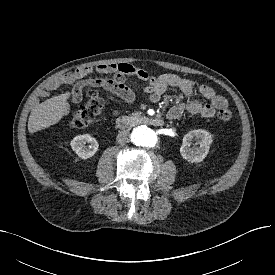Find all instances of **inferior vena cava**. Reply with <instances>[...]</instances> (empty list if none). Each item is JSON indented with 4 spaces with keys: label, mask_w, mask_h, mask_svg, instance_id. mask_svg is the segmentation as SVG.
Here are the masks:
<instances>
[{
    "label": "inferior vena cava",
    "mask_w": 275,
    "mask_h": 275,
    "mask_svg": "<svg viewBox=\"0 0 275 275\" xmlns=\"http://www.w3.org/2000/svg\"><path fill=\"white\" fill-rule=\"evenodd\" d=\"M117 143L125 145L130 142V134L128 132H120L116 138Z\"/></svg>",
    "instance_id": "602c4592"
}]
</instances>
